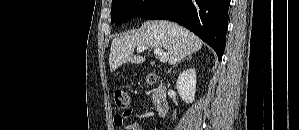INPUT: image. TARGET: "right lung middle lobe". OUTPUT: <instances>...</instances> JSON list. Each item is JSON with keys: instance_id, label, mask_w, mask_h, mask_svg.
I'll use <instances>...</instances> for the list:
<instances>
[{"instance_id": "right-lung-middle-lobe-1", "label": "right lung middle lobe", "mask_w": 299, "mask_h": 130, "mask_svg": "<svg viewBox=\"0 0 299 130\" xmlns=\"http://www.w3.org/2000/svg\"><path fill=\"white\" fill-rule=\"evenodd\" d=\"M156 0H113L111 23L119 25L128 19L140 16Z\"/></svg>"}]
</instances>
